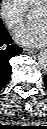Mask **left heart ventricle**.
<instances>
[{
  "instance_id": "1",
  "label": "left heart ventricle",
  "mask_w": 47,
  "mask_h": 129,
  "mask_svg": "<svg viewBox=\"0 0 47 129\" xmlns=\"http://www.w3.org/2000/svg\"><path fill=\"white\" fill-rule=\"evenodd\" d=\"M46 16H47V14H46L44 9H37L33 13V19L35 21L45 22L46 21Z\"/></svg>"
}]
</instances>
